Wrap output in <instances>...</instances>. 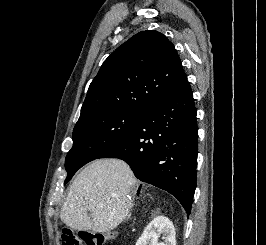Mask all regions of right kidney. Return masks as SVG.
<instances>
[{
    "label": "right kidney",
    "instance_id": "right-kidney-1",
    "mask_svg": "<svg viewBox=\"0 0 266 245\" xmlns=\"http://www.w3.org/2000/svg\"><path fill=\"white\" fill-rule=\"evenodd\" d=\"M160 235H164V243H159ZM136 245H176L175 229L172 221L167 217H155L151 223L145 227L141 237L136 241Z\"/></svg>",
    "mask_w": 266,
    "mask_h": 245
}]
</instances>
